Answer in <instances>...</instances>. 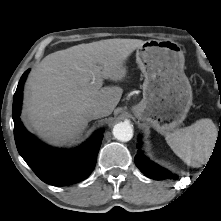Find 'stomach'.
I'll return each mask as SVG.
<instances>
[{
	"instance_id": "obj_1",
	"label": "stomach",
	"mask_w": 221,
	"mask_h": 221,
	"mask_svg": "<svg viewBox=\"0 0 221 221\" xmlns=\"http://www.w3.org/2000/svg\"><path fill=\"white\" fill-rule=\"evenodd\" d=\"M136 61L145 80L143 99L131 111L137 119L166 134L184 121L192 106L183 51L172 40L151 39L137 49Z\"/></svg>"
}]
</instances>
